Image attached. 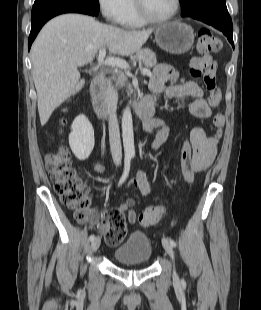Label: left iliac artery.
<instances>
[{"label": "left iliac artery", "instance_id": "44dca946", "mask_svg": "<svg viewBox=\"0 0 261 310\" xmlns=\"http://www.w3.org/2000/svg\"><path fill=\"white\" fill-rule=\"evenodd\" d=\"M169 242H170V244H171L173 247H175V246H176V243H175V241H174V240L169 239ZM182 282H184V280H182Z\"/></svg>", "mask_w": 261, "mask_h": 310}]
</instances>
